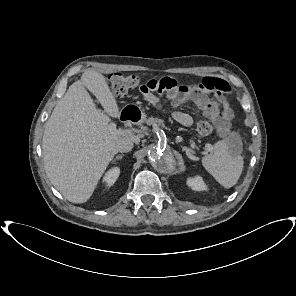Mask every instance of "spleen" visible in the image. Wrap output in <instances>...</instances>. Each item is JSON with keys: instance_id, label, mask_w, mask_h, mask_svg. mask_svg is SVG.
<instances>
[{"instance_id": "1", "label": "spleen", "mask_w": 296, "mask_h": 296, "mask_svg": "<svg viewBox=\"0 0 296 296\" xmlns=\"http://www.w3.org/2000/svg\"><path fill=\"white\" fill-rule=\"evenodd\" d=\"M242 144L236 133L216 142L202 158L204 168L225 188L234 186L243 170Z\"/></svg>"}]
</instances>
